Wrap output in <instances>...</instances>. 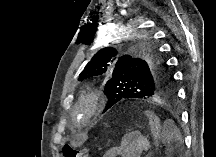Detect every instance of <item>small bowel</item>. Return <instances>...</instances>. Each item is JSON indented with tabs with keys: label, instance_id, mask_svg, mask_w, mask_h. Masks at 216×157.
Returning <instances> with one entry per match:
<instances>
[{
	"label": "small bowel",
	"instance_id": "1",
	"mask_svg": "<svg viewBox=\"0 0 216 157\" xmlns=\"http://www.w3.org/2000/svg\"><path fill=\"white\" fill-rule=\"evenodd\" d=\"M148 148V141L138 133L129 134L121 144L110 149L108 157H138Z\"/></svg>",
	"mask_w": 216,
	"mask_h": 157
}]
</instances>
